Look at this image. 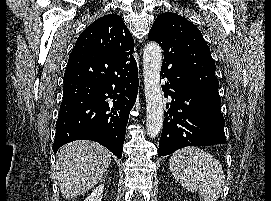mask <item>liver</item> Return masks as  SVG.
Segmentation results:
<instances>
[{"label":"liver","instance_id":"obj_1","mask_svg":"<svg viewBox=\"0 0 271 201\" xmlns=\"http://www.w3.org/2000/svg\"><path fill=\"white\" fill-rule=\"evenodd\" d=\"M111 163V153L92 141H74L59 150L55 180L64 198L70 199L93 188Z\"/></svg>","mask_w":271,"mask_h":201}]
</instances>
